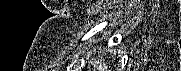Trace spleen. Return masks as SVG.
<instances>
[{
  "label": "spleen",
  "instance_id": "3e777b00",
  "mask_svg": "<svg viewBox=\"0 0 181 71\" xmlns=\"http://www.w3.org/2000/svg\"><path fill=\"white\" fill-rule=\"evenodd\" d=\"M99 70H102V69H104V67H101V66H99V67H97Z\"/></svg>",
  "mask_w": 181,
  "mask_h": 71
}]
</instances>
